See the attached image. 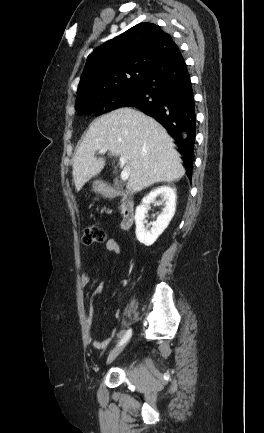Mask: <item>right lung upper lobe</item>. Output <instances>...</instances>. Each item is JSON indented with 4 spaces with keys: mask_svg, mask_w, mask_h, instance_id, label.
<instances>
[{
    "mask_svg": "<svg viewBox=\"0 0 264 433\" xmlns=\"http://www.w3.org/2000/svg\"><path fill=\"white\" fill-rule=\"evenodd\" d=\"M179 49L171 36L152 23H139L107 41L88 57L77 101L121 86L140 84Z\"/></svg>",
    "mask_w": 264,
    "mask_h": 433,
    "instance_id": "obj_1",
    "label": "right lung upper lobe"
}]
</instances>
